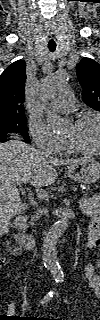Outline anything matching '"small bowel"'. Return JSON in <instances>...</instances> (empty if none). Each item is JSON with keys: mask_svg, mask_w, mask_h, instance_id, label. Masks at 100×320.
Returning <instances> with one entry per match:
<instances>
[{"mask_svg": "<svg viewBox=\"0 0 100 320\" xmlns=\"http://www.w3.org/2000/svg\"><path fill=\"white\" fill-rule=\"evenodd\" d=\"M81 206L87 211L92 213V209L95 207V200L92 198L83 199L81 202ZM94 226L99 228L98 219L94 220V222L91 225V229ZM91 229H90V232H91ZM88 246L95 247V246H91L89 241H88ZM98 267L100 268V264ZM84 275L88 281L89 286L94 290L95 296L99 297L100 296V274L97 271V266L93 263L86 265V267L84 268Z\"/></svg>", "mask_w": 100, "mask_h": 320, "instance_id": "obj_1", "label": "small bowel"}]
</instances>
